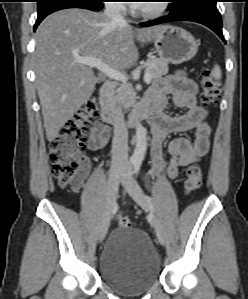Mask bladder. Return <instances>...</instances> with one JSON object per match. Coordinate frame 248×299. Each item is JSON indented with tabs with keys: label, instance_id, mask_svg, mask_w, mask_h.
Instances as JSON below:
<instances>
[{
	"label": "bladder",
	"instance_id": "31cf9c89",
	"mask_svg": "<svg viewBox=\"0 0 248 299\" xmlns=\"http://www.w3.org/2000/svg\"><path fill=\"white\" fill-rule=\"evenodd\" d=\"M104 282L126 295L146 292L158 279L161 263L146 232L117 228L108 237L99 259Z\"/></svg>",
	"mask_w": 248,
	"mask_h": 299
}]
</instances>
